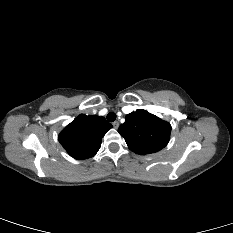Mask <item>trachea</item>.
Here are the masks:
<instances>
[{"mask_svg": "<svg viewBox=\"0 0 233 233\" xmlns=\"http://www.w3.org/2000/svg\"><path fill=\"white\" fill-rule=\"evenodd\" d=\"M115 119H116V114H115L114 112L108 113V115H107V120H108L109 122H113V121H115Z\"/></svg>", "mask_w": 233, "mask_h": 233, "instance_id": "1", "label": "trachea"}]
</instances>
